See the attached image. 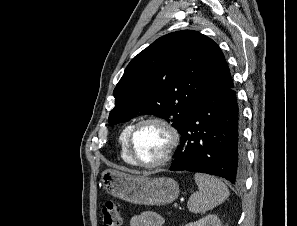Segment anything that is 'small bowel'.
I'll return each instance as SVG.
<instances>
[{"label": "small bowel", "mask_w": 297, "mask_h": 226, "mask_svg": "<svg viewBox=\"0 0 297 226\" xmlns=\"http://www.w3.org/2000/svg\"><path fill=\"white\" fill-rule=\"evenodd\" d=\"M130 226H164V220L155 212H143L131 217Z\"/></svg>", "instance_id": "c3829d8e"}]
</instances>
